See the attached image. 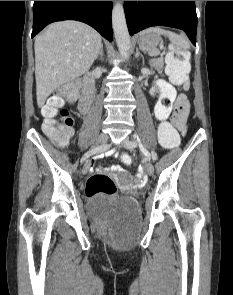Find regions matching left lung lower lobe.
Segmentation results:
<instances>
[{
    "label": "left lung lower lobe",
    "instance_id": "0a47b994",
    "mask_svg": "<svg viewBox=\"0 0 233 295\" xmlns=\"http://www.w3.org/2000/svg\"><path fill=\"white\" fill-rule=\"evenodd\" d=\"M124 10L130 35L150 26L162 25L184 30L196 45L194 1H125Z\"/></svg>",
    "mask_w": 233,
    "mask_h": 295
}]
</instances>
